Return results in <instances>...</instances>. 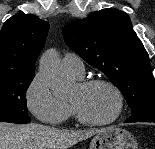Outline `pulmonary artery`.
<instances>
[{
	"instance_id": "pulmonary-artery-1",
	"label": "pulmonary artery",
	"mask_w": 155,
	"mask_h": 149,
	"mask_svg": "<svg viewBox=\"0 0 155 149\" xmlns=\"http://www.w3.org/2000/svg\"><path fill=\"white\" fill-rule=\"evenodd\" d=\"M63 66L64 69L76 76V77H82L84 74V63L83 60L74 53H68L63 57Z\"/></svg>"
}]
</instances>
